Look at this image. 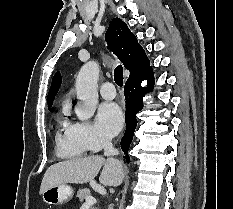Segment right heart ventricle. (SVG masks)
<instances>
[{"label": "right heart ventricle", "mask_w": 233, "mask_h": 209, "mask_svg": "<svg viewBox=\"0 0 233 209\" xmlns=\"http://www.w3.org/2000/svg\"><path fill=\"white\" fill-rule=\"evenodd\" d=\"M68 112L69 105L68 102L65 101L56 118V153L60 158L75 159L84 156L88 150L73 139L71 134V124L65 119Z\"/></svg>", "instance_id": "e07e8e85"}]
</instances>
